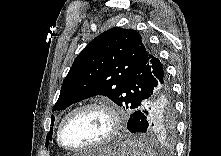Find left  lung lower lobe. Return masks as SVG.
Listing matches in <instances>:
<instances>
[{"mask_svg": "<svg viewBox=\"0 0 221 156\" xmlns=\"http://www.w3.org/2000/svg\"><path fill=\"white\" fill-rule=\"evenodd\" d=\"M176 126L174 97L167 73H158L153 80V93L130 115L127 129L131 133L173 135Z\"/></svg>", "mask_w": 221, "mask_h": 156, "instance_id": "1", "label": "left lung lower lobe"}]
</instances>
